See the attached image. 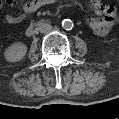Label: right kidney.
<instances>
[{
  "label": "right kidney",
  "mask_w": 119,
  "mask_h": 119,
  "mask_svg": "<svg viewBox=\"0 0 119 119\" xmlns=\"http://www.w3.org/2000/svg\"><path fill=\"white\" fill-rule=\"evenodd\" d=\"M26 52L27 47L24 44L16 43L7 49L5 56L8 61L16 62L20 61L25 56Z\"/></svg>",
  "instance_id": "1"
}]
</instances>
